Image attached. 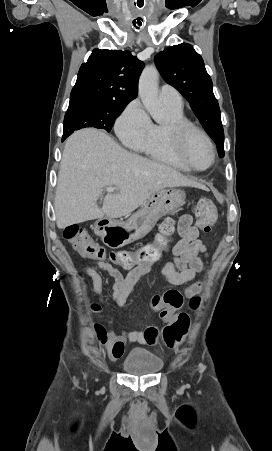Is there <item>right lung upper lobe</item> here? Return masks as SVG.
I'll list each match as a JSON object with an SVG mask.
<instances>
[{
	"label": "right lung upper lobe",
	"instance_id": "cb5924a9",
	"mask_svg": "<svg viewBox=\"0 0 272 451\" xmlns=\"http://www.w3.org/2000/svg\"><path fill=\"white\" fill-rule=\"evenodd\" d=\"M144 63L129 51L94 49L83 63L70 103L83 100L129 103L138 94Z\"/></svg>",
	"mask_w": 272,
	"mask_h": 451
}]
</instances>
